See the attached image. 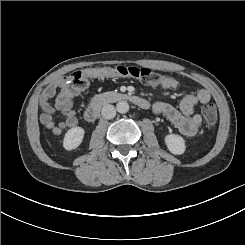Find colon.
I'll list each match as a JSON object with an SVG mask.
<instances>
[{
	"instance_id": "5ec220e1",
	"label": "colon",
	"mask_w": 245,
	"mask_h": 245,
	"mask_svg": "<svg viewBox=\"0 0 245 245\" xmlns=\"http://www.w3.org/2000/svg\"><path fill=\"white\" fill-rule=\"evenodd\" d=\"M104 77H128L153 86L162 85L167 79L164 75L149 68L117 66L77 70L65 77L63 81L69 89L82 90L87 87L91 79ZM201 113L206 125L210 128L214 127L217 122L216 108L212 104H207L202 107Z\"/></svg>"
}]
</instances>
